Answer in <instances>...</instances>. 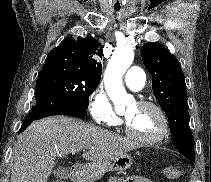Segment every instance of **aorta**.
Masks as SVG:
<instances>
[{
    "instance_id": "obj_1",
    "label": "aorta",
    "mask_w": 211,
    "mask_h": 182,
    "mask_svg": "<svg viewBox=\"0 0 211 182\" xmlns=\"http://www.w3.org/2000/svg\"><path fill=\"white\" fill-rule=\"evenodd\" d=\"M133 59V50L125 48L115 51L106 67L104 74L105 89L115 108L123 106L128 100L123 85V75L132 64Z\"/></svg>"
}]
</instances>
